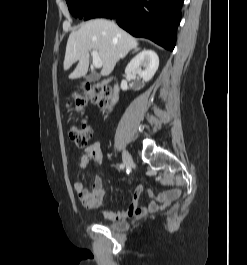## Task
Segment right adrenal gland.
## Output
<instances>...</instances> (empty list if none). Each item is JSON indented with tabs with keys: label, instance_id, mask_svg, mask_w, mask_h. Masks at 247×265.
<instances>
[{
	"label": "right adrenal gland",
	"instance_id": "right-adrenal-gland-1",
	"mask_svg": "<svg viewBox=\"0 0 247 265\" xmlns=\"http://www.w3.org/2000/svg\"><path fill=\"white\" fill-rule=\"evenodd\" d=\"M138 50H139V49H134L133 53L136 52V51H138Z\"/></svg>",
	"mask_w": 247,
	"mask_h": 265
}]
</instances>
